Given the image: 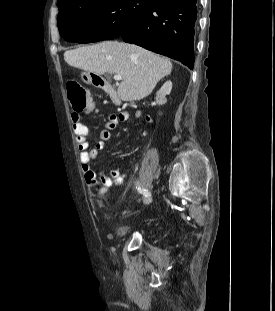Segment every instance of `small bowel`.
Returning <instances> with one entry per match:
<instances>
[{"instance_id": "small-bowel-1", "label": "small bowel", "mask_w": 275, "mask_h": 311, "mask_svg": "<svg viewBox=\"0 0 275 311\" xmlns=\"http://www.w3.org/2000/svg\"><path fill=\"white\" fill-rule=\"evenodd\" d=\"M132 115L136 120L143 118V114L140 110L134 111ZM129 116L130 113L128 111H122L118 114L111 115L106 123V128L100 133L99 140L93 148H89L87 141L88 128L81 121V116L78 112L72 113L75 140L79 151V160L81 163L83 177L89 188L94 193L96 190H101V183H108V185H111L113 183L121 184L123 182L122 176L116 170H111L109 175H105L104 173L97 174L96 171L90 166V163L95 161L99 155V152L106 147L107 141L110 138V130L117 127L120 122L127 120ZM144 119L148 123L152 122V119L148 116Z\"/></svg>"}]
</instances>
